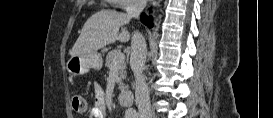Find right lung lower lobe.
Segmentation results:
<instances>
[{"label":"right lung lower lobe","mask_w":273,"mask_h":118,"mask_svg":"<svg viewBox=\"0 0 273 118\" xmlns=\"http://www.w3.org/2000/svg\"><path fill=\"white\" fill-rule=\"evenodd\" d=\"M141 21L148 27H152V18L146 17L144 14L141 15Z\"/></svg>","instance_id":"obj_1"}]
</instances>
